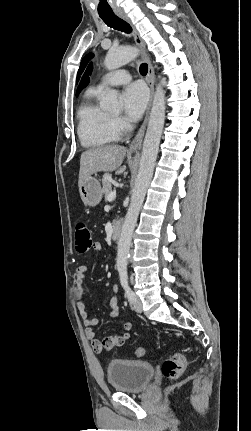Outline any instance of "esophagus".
Segmentation results:
<instances>
[{"mask_svg": "<svg viewBox=\"0 0 251 431\" xmlns=\"http://www.w3.org/2000/svg\"><path fill=\"white\" fill-rule=\"evenodd\" d=\"M116 15L118 17H120L121 19H123L124 21H126L132 27V30H133L132 34H133L134 41L140 47V49L142 51V55H143L144 59L147 62V65H148L147 83H148L149 88H150V102H149V106H148V109L146 112L145 119H144L140 129L138 130L136 136L134 137L133 141L129 145V150L136 151V150L140 149V147H141L142 140H143V137H144V134L146 131V127H147V123H148V119H149V111H150V107H151V103H152V99H153V95H154V69H153L152 64H151V62H150V60L146 54L145 42L142 39V37L140 36L138 30L132 24L131 19L123 11H116Z\"/></svg>", "mask_w": 251, "mask_h": 431, "instance_id": "34e87169", "label": "esophagus"}]
</instances>
